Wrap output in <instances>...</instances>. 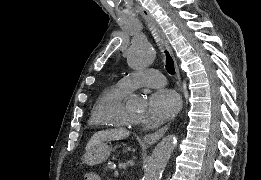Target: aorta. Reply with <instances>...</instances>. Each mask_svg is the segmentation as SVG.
<instances>
[{
    "label": "aorta",
    "instance_id": "aorta-1",
    "mask_svg": "<svg viewBox=\"0 0 261 180\" xmlns=\"http://www.w3.org/2000/svg\"><path fill=\"white\" fill-rule=\"evenodd\" d=\"M155 57L156 51L149 42L138 41L134 42L130 47L127 54V61L132 69L139 70L152 64ZM140 102L137 96H133L129 104L136 106ZM176 145L177 138L175 135H168L158 143L145 165L143 180H161L162 173Z\"/></svg>",
    "mask_w": 261,
    "mask_h": 180
}]
</instances>
